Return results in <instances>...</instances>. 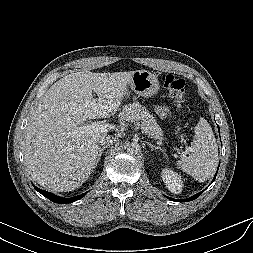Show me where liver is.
<instances>
[{
    "instance_id": "6515ba94",
    "label": "liver",
    "mask_w": 253,
    "mask_h": 253,
    "mask_svg": "<svg viewBox=\"0 0 253 253\" xmlns=\"http://www.w3.org/2000/svg\"><path fill=\"white\" fill-rule=\"evenodd\" d=\"M134 72H75L49 88L24 135V158L33 180L55 192L72 191L88 180L96 165L99 140L107 132L80 127L86 120L116 113Z\"/></svg>"
}]
</instances>
